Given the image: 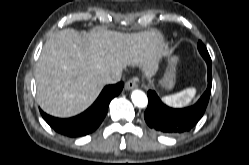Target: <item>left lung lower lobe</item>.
Returning a JSON list of instances; mask_svg holds the SVG:
<instances>
[{
  "label": "left lung lower lobe",
  "instance_id": "left-lung-lower-lobe-1",
  "mask_svg": "<svg viewBox=\"0 0 249 165\" xmlns=\"http://www.w3.org/2000/svg\"><path fill=\"white\" fill-rule=\"evenodd\" d=\"M208 67V87L196 104L182 109H174L165 105L155 91L149 90L148 106L144 113L147 125L164 134H180L190 131L203 116L212 87L211 62Z\"/></svg>",
  "mask_w": 249,
  "mask_h": 165
}]
</instances>
